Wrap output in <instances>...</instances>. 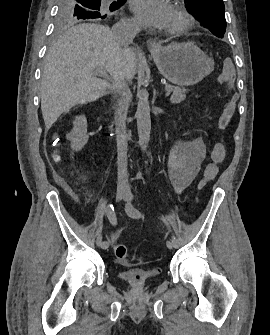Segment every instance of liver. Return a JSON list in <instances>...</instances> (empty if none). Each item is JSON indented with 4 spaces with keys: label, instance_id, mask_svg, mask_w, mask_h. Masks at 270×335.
<instances>
[{
    "label": "liver",
    "instance_id": "liver-1",
    "mask_svg": "<svg viewBox=\"0 0 270 335\" xmlns=\"http://www.w3.org/2000/svg\"><path fill=\"white\" fill-rule=\"evenodd\" d=\"M107 70L132 80L136 74L133 48L118 46L112 30L101 24H78L60 34L50 46L41 78V110L46 126L77 104L92 102L110 90L95 78Z\"/></svg>",
    "mask_w": 270,
    "mask_h": 335
}]
</instances>
